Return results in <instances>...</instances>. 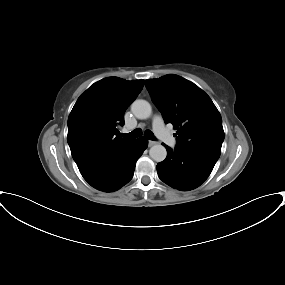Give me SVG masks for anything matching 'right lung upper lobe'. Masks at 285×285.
Returning a JSON list of instances; mask_svg holds the SVG:
<instances>
[{
  "label": "right lung upper lobe",
  "instance_id": "cb5924a9",
  "mask_svg": "<svg viewBox=\"0 0 285 285\" xmlns=\"http://www.w3.org/2000/svg\"><path fill=\"white\" fill-rule=\"evenodd\" d=\"M143 86L144 80L108 77L78 98L68 118L67 141L79 169L131 140L121 138L118 127Z\"/></svg>",
  "mask_w": 285,
  "mask_h": 285
}]
</instances>
